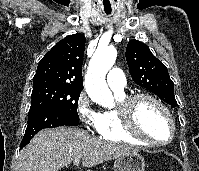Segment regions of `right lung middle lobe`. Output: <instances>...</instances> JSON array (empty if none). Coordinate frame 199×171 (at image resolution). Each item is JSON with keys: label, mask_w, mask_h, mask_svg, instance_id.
I'll return each instance as SVG.
<instances>
[{"label": "right lung middle lobe", "mask_w": 199, "mask_h": 171, "mask_svg": "<svg viewBox=\"0 0 199 171\" xmlns=\"http://www.w3.org/2000/svg\"><path fill=\"white\" fill-rule=\"evenodd\" d=\"M81 87L52 81H33L31 107L51 105L79 119L77 113Z\"/></svg>", "instance_id": "1"}]
</instances>
